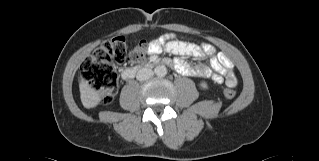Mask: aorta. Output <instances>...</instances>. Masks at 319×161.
Instances as JSON below:
<instances>
[{
	"mask_svg": "<svg viewBox=\"0 0 319 161\" xmlns=\"http://www.w3.org/2000/svg\"><path fill=\"white\" fill-rule=\"evenodd\" d=\"M154 73L159 77H164L167 74V68L164 65L155 67Z\"/></svg>",
	"mask_w": 319,
	"mask_h": 161,
	"instance_id": "1",
	"label": "aorta"
}]
</instances>
